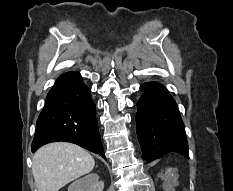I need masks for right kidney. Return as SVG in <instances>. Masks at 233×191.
Listing matches in <instances>:
<instances>
[{"label":"right kidney","instance_id":"ca27d5eb","mask_svg":"<svg viewBox=\"0 0 233 191\" xmlns=\"http://www.w3.org/2000/svg\"><path fill=\"white\" fill-rule=\"evenodd\" d=\"M104 182L99 181V177L95 173L88 174L73 182L68 191H103Z\"/></svg>","mask_w":233,"mask_h":191}]
</instances>
